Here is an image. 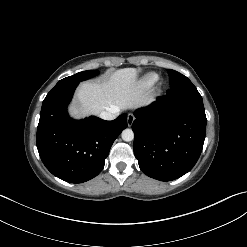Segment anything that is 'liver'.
<instances>
[{
	"label": "liver",
	"mask_w": 247,
	"mask_h": 247,
	"mask_svg": "<svg viewBox=\"0 0 247 247\" xmlns=\"http://www.w3.org/2000/svg\"><path fill=\"white\" fill-rule=\"evenodd\" d=\"M77 104L69 109L75 118L98 115L110 109H133L152 102L137 79L135 68H123L102 83L83 82L76 92Z\"/></svg>",
	"instance_id": "obj_1"
}]
</instances>
